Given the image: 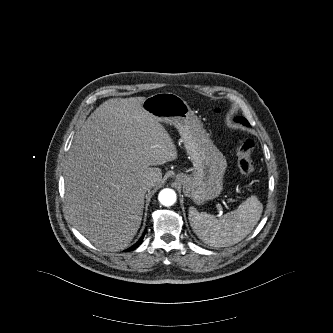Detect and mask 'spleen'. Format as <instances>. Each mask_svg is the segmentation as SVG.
Segmentation results:
<instances>
[{
  "label": "spleen",
  "mask_w": 333,
  "mask_h": 333,
  "mask_svg": "<svg viewBox=\"0 0 333 333\" xmlns=\"http://www.w3.org/2000/svg\"><path fill=\"white\" fill-rule=\"evenodd\" d=\"M262 211V203L252 195L236 210L220 218L190 207L188 219L194 233L204 243L213 247H227L240 242L254 229Z\"/></svg>",
  "instance_id": "obj_1"
}]
</instances>
